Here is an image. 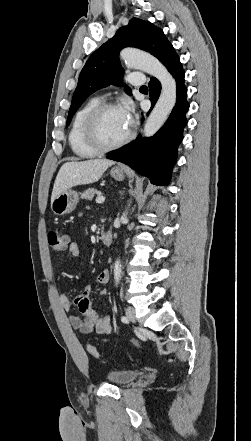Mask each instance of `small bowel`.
Listing matches in <instances>:
<instances>
[{
	"instance_id": "obj_1",
	"label": "small bowel",
	"mask_w": 251,
	"mask_h": 441,
	"mask_svg": "<svg viewBox=\"0 0 251 441\" xmlns=\"http://www.w3.org/2000/svg\"><path fill=\"white\" fill-rule=\"evenodd\" d=\"M67 250L72 257L80 256V247L76 242H71L67 246ZM110 273L108 270L102 271L96 279L97 284L105 285L109 282ZM107 294L106 290L100 292L101 296ZM61 306L69 311L72 307H76L80 315H70L69 321L71 326L79 330L81 333L87 334L95 331L98 334H109L112 331L110 318L107 315H101L92 305V291L90 286H86L83 292L72 299L67 294L59 295Z\"/></svg>"
}]
</instances>
